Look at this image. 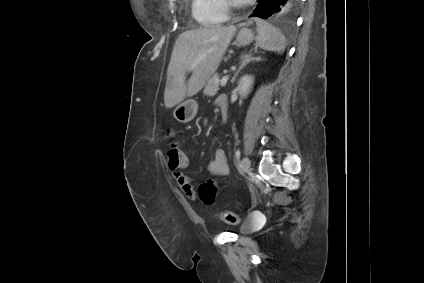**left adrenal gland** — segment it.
<instances>
[{
  "label": "left adrenal gland",
  "mask_w": 424,
  "mask_h": 283,
  "mask_svg": "<svg viewBox=\"0 0 424 283\" xmlns=\"http://www.w3.org/2000/svg\"><path fill=\"white\" fill-rule=\"evenodd\" d=\"M252 61H261V57H253L251 52L246 53L243 57H242V61H241V65L239 67V69L236 71L235 75L232 78V82L235 81L236 77L238 76V74L240 73V71L246 66L248 65L250 62Z\"/></svg>",
  "instance_id": "a2214340"
}]
</instances>
